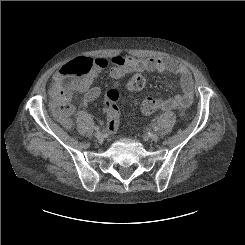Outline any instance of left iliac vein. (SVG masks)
Listing matches in <instances>:
<instances>
[{
  "label": "left iliac vein",
  "mask_w": 245,
  "mask_h": 245,
  "mask_svg": "<svg viewBox=\"0 0 245 245\" xmlns=\"http://www.w3.org/2000/svg\"><path fill=\"white\" fill-rule=\"evenodd\" d=\"M149 138H150L152 141H157V140L159 139V136H158V134L154 133V134L150 135Z\"/></svg>",
  "instance_id": "obj_1"
}]
</instances>
